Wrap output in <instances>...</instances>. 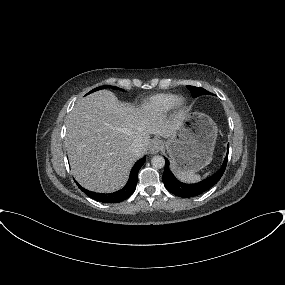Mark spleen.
I'll return each mask as SVG.
<instances>
[{
	"mask_svg": "<svg viewBox=\"0 0 285 285\" xmlns=\"http://www.w3.org/2000/svg\"><path fill=\"white\" fill-rule=\"evenodd\" d=\"M206 175H208V173H206ZM177 177L183 181V182H187V183H194L197 182L201 179V176L199 174H195V173H178Z\"/></svg>",
	"mask_w": 285,
	"mask_h": 285,
	"instance_id": "1",
	"label": "spleen"
}]
</instances>
